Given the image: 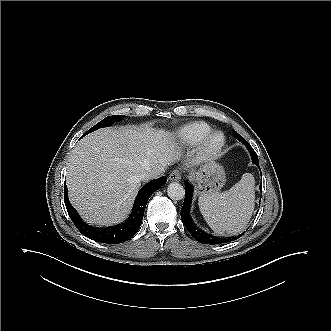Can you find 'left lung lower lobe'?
<instances>
[{"mask_svg":"<svg viewBox=\"0 0 331 331\" xmlns=\"http://www.w3.org/2000/svg\"><path fill=\"white\" fill-rule=\"evenodd\" d=\"M234 137L241 141L243 144H245V146L247 147V149L249 150V152H252L253 149L252 147L240 136V135H234ZM254 152V151H253ZM254 163V162H253ZM255 165L259 166L258 163H254ZM260 168V167H259ZM185 200H184V204L183 207L181 209V218H182V222L185 225V227L187 228V230L190 232V234L192 235V237L202 243V244H222V243H227V242H231L236 240L237 238L241 237L243 234L238 235V237H226V238H222V237H217V236H213L210 235L202 230H200L193 222L191 216H190V206H191V201H192V195H193V186L188 182L185 181ZM260 189L262 190V182H261V186Z\"/></svg>","mask_w":331,"mask_h":331,"instance_id":"left-lung-lower-lobe-1","label":"left lung lower lobe"}]
</instances>
